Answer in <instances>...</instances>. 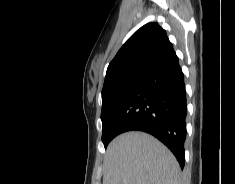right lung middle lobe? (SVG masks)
Returning <instances> with one entry per match:
<instances>
[{
  "instance_id": "1",
  "label": "right lung middle lobe",
  "mask_w": 235,
  "mask_h": 184,
  "mask_svg": "<svg viewBox=\"0 0 235 184\" xmlns=\"http://www.w3.org/2000/svg\"><path fill=\"white\" fill-rule=\"evenodd\" d=\"M143 81L141 77L130 78L120 86L108 90L102 95L101 120L103 125L102 142L105 148L116 137L111 131V126L129 93Z\"/></svg>"
}]
</instances>
